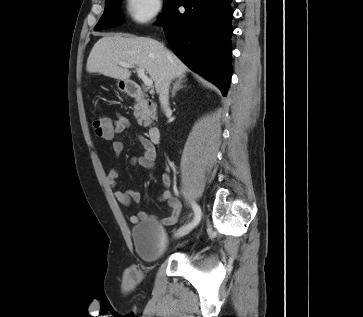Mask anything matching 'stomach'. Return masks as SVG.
I'll use <instances>...</instances> for the list:
<instances>
[{
    "label": "stomach",
    "mask_w": 363,
    "mask_h": 317,
    "mask_svg": "<svg viewBox=\"0 0 363 317\" xmlns=\"http://www.w3.org/2000/svg\"><path fill=\"white\" fill-rule=\"evenodd\" d=\"M128 85H129L128 80H119L118 83H117L118 89L121 92H127L128 91Z\"/></svg>",
    "instance_id": "0dacf381"
}]
</instances>
